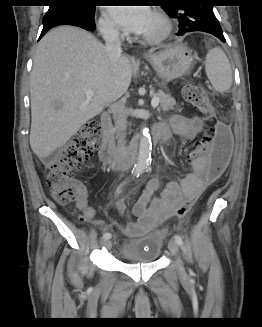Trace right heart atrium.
<instances>
[{"mask_svg":"<svg viewBox=\"0 0 262 327\" xmlns=\"http://www.w3.org/2000/svg\"><path fill=\"white\" fill-rule=\"evenodd\" d=\"M97 28L101 36L105 39H120L122 33L111 21L106 13H102L97 20Z\"/></svg>","mask_w":262,"mask_h":327,"instance_id":"1","label":"right heart atrium"}]
</instances>
